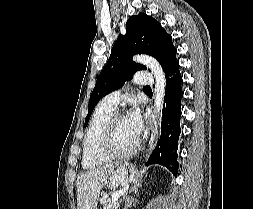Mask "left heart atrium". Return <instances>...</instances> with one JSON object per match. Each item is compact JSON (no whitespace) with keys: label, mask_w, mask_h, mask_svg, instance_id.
Wrapping results in <instances>:
<instances>
[{"label":"left heart atrium","mask_w":253,"mask_h":209,"mask_svg":"<svg viewBox=\"0 0 253 209\" xmlns=\"http://www.w3.org/2000/svg\"><path fill=\"white\" fill-rule=\"evenodd\" d=\"M125 119L134 137L138 138L143 128V120L139 109L133 107L128 112Z\"/></svg>","instance_id":"obj_1"}]
</instances>
